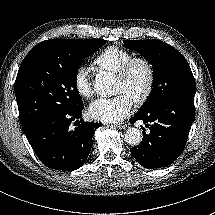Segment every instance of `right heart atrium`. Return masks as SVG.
Returning <instances> with one entry per match:
<instances>
[{"label":"right heart atrium","mask_w":215,"mask_h":215,"mask_svg":"<svg viewBox=\"0 0 215 215\" xmlns=\"http://www.w3.org/2000/svg\"><path fill=\"white\" fill-rule=\"evenodd\" d=\"M73 87L79 97L85 100L92 98L94 90L91 77L86 68H78L73 76Z\"/></svg>","instance_id":"obj_1"}]
</instances>
